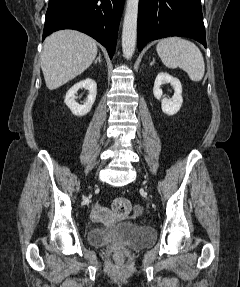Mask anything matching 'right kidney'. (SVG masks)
Returning a JSON list of instances; mask_svg holds the SVG:
<instances>
[{"label":"right kidney","mask_w":240,"mask_h":287,"mask_svg":"<svg viewBox=\"0 0 240 287\" xmlns=\"http://www.w3.org/2000/svg\"><path fill=\"white\" fill-rule=\"evenodd\" d=\"M81 88L87 89L89 94L84 104H79L75 101V94ZM97 94V84L93 79L87 78L73 85L66 93L65 104L76 116H84L90 112Z\"/></svg>","instance_id":"right-kidney-1"}]
</instances>
